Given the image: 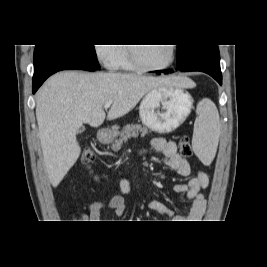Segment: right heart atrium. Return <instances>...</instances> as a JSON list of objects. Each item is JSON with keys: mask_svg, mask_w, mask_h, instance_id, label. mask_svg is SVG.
I'll return each instance as SVG.
<instances>
[{"mask_svg": "<svg viewBox=\"0 0 267 267\" xmlns=\"http://www.w3.org/2000/svg\"><path fill=\"white\" fill-rule=\"evenodd\" d=\"M119 53V47L112 44L95 45V54L97 59L108 69L116 68V60Z\"/></svg>", "mask_w": 267, "mask_h": 267, "instance_id": "d8ad5b80", "label": "right heart atrium"}]
</instances>
